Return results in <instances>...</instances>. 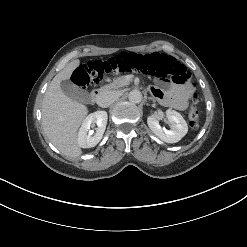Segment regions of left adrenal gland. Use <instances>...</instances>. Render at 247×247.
I'll return each instance as SVG.
<instances>
[{"label": "left adrenal gland", "instance_id": "obj_1", "mask_svg": "<svg viewBox=\"0 0 247 247\" xmlns=\"http://www.w3.org/2000/svg\"><path fill=\"white\" fill-rule=\"evenodd\" d=\"M149 100H153L154 101V99L153 98H148Z\"/></svg>", "mask_w": 247, "mask_h": 247}]
</instances>
